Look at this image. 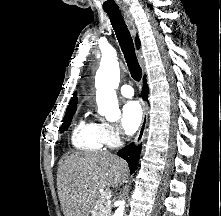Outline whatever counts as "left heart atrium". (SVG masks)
<instances>
[{"label": "left heart atrium", "instance_id": "1", "mask_svg": "<svg viewBox=\"0 0 221 216\" xmlns=\"http://www.w3.org/2000/svg\"><path fill=\"white\" fill-rule=\"evenodd\" d=\"M142 116V109L138 102L129 101L123 106L121 125L127 135H132L139 129Z\"/></svg>", "mask_w": 221, "mask_h": 216}]
</instances>
